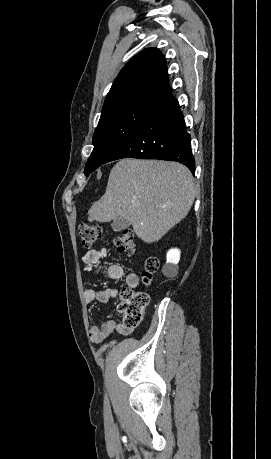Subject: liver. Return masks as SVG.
<instances>
[{
  "label": "liver",
  "mask_w": 271,
  "mask_h": 459,
  "mask_svg": "<svg viewBox=\"0 0 271 459\" xmlns=\"http://www.w3.org/2000/svg\"><path fill=\"white\" fill-rule=\"evenodd\" d=\"M194 198L192 174L183 164L125 158L112 168L107 190L91 206L88 220L125 218L138 237L152 243L186 218Z\"/></svg>",
  "instance_id": "6515ba94"
}]
</instances>
